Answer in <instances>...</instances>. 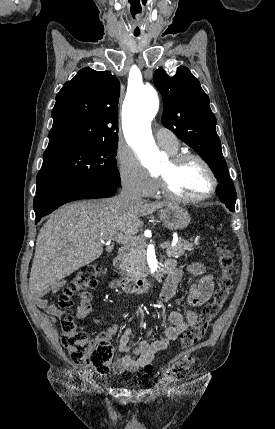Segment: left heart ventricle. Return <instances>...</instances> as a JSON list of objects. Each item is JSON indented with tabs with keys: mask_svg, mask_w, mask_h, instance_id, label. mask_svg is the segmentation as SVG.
I'll return each instance as SVG.
<instances>
[{
	"mask_svg": "<svg viewBox=\"0 0 275 429\" xmlns=\"http://www.w3.org/2000/svg\"><path fill=\"white\" fill-rule=\"evenodd\" d=\"M157 176L164 178L176 194L188 198L204 196L211 186L206 170L194 160L177 167L168 160L157 170Z\"/></svg>",
	"mask_w": 275,
	"mask_h": 429,
	"instance_id": "1",
	"label": "left heart ventricle"
}]
</instances>
